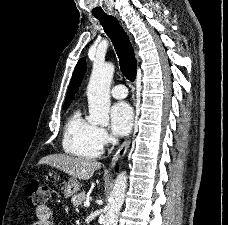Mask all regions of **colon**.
I'll list each match as a JSON object with an SVG mask.
<instances>
[{
	"mask_svg": "<svg viewBox=\"0 0 228 225\" xmlns=\"http://www.w3.org/2000/svg\"><path fill=\"white\" fill-rule=\"evenodd\" d=\"M26 196L31 208L37 211H44L47 207L46 201L50 200L47 185L33 180L27 184Z\"/></svg>",
	"mask_w": 228,
	"mask_h": 225,
	"instance_id": "obj_1",
	"label": "colon"
}]
</instances>
